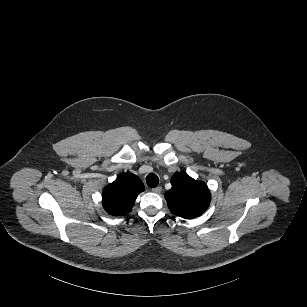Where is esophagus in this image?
<instances>
[{"instance_id":"obj_1","label":"esophagus","mask_w":307,"mask_h":307,"mask_svg":"<svg viewBox=\"0 0 307 307\" xmlns=\"http://www.w3.org/2000/svg\"><path fill=\"white\" fill-rule=\"evenodd\" d=\"M161 190H162V187L161 186H158V187H155L152 189V192L153 193H156V194H160L161 193Z\"/></svg>"}]
</instances>
